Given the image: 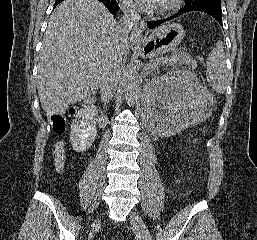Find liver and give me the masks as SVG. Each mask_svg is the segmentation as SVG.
<instances>
[{"label":"liver","mask_w":257,"mask_h":240,"mask_svg":"<svg viewBox=\"0 0 257 240\" xmlns=\"http://www.w3.org/2000/svg\"><path fill=\"white\" fill-rule=\"evenodd\" d=\"M117 21L98 0H64L50 16L39 54L37 90L47 115L95 93L116 51ZM128 43L119 48L121 62Z\"/></svg>","instance_id":"obj_1"}]
</instances>
